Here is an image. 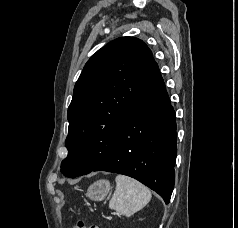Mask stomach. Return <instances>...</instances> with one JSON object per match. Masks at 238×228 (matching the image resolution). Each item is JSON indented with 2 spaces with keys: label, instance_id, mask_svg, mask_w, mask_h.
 I'll return each instance as SVG.
<instances>
[{
  "label": "stomach",
  "instance_id": "0dacf381",
  "mask_svg": "<svg viewBox=\"0 0 238 228\" xmlns=\"http://www.w3.org/2000/svg\"><path fill=\"white\" fill-rule=\"evenodd\" d=\"M111 186L107 180H99L90 185L87 189V197L93 201H102L110 193Z\"/></svg>",
  "mask_w": 238,
  "mask_h": 228
}]
</instances>
